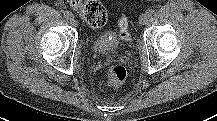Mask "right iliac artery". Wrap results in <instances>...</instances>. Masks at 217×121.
<instances>
[{
  "label": "right iliac artery",
  "instance_id": "1",
  "mask_svg": "<svg viewBox=\"0 0 217 121\" xmlns=\"http://www.w3.org/2000/svg\"><path fill=\"white\" fill-rule=\"evenodd\" d=\"M63 14L68 19L73 17L72 13L70 11H68V10L64 11Z\"/></svg>",
  "mask_w": 217,
  "mask_h": 121
}]
</instances>
